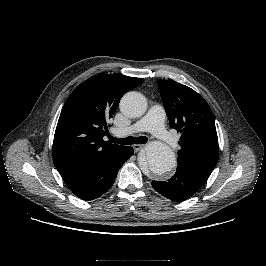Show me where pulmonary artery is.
<instances>
[{"instance_id": "pulmonary-artery-1", "label": "pulmonary artery", "mask_w": 266, "mask_h": 266, "mask_svg": "<svg viewBox=\"0 0 266 266\" xmlns=\"http://www.w3.org/2000/svg\"><path fill=\"white\" fill-rule=\"evenodd\" d=\"M165 117L164 108L159 104H154L140 121L126 128L115 129L114 133L119 135H133L140 132H151L167 147L174 150L177 147V141L165 130Z\"/></svg>"}]
</instances>
